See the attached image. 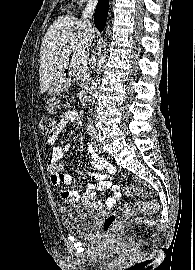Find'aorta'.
Wrapping results in <instances>:
<instances>
[{"instance_id": "obj_1", "label": "aorta", "mask_w": 195, "mask_h": 270, "mask_svg": "<svg viewBox=\"0 0 195 270\" xmlns=\"http://www.w3.org/2000/svg\"><path fill=\"white\" fill-rule=\"evenodd\" d=\"M105 47H106V40L103 41V54L100 56L98 63H97V74L98 75L101 72V68H102V65H103L105 57H106L105 56V54H106Z\"/></svg>"}]
</instances>
